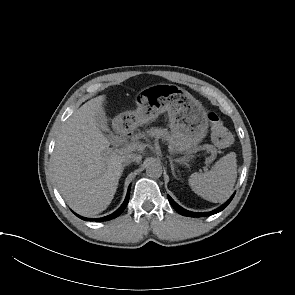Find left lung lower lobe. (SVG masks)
<instances>
[{
  "mask_svg": "<svg viewBox=\"0 0 295 295\" xmlns=\"http://www.w3.org/2000/svg\"><path fill=\"white\" fill-rule=\"evenodd\" d=\"M233 197H234V194L225 204L220 206L218 209L213 210L211 212H206V213H195V212L187 211V210L183 209L182 207H180L177 203H175L174 200L169 195H168V200H169L170 204L172 205V207L181 215L189 216V217H204V216H210V215H213V214H216V213L222 211L231 202Z\"/></svg>",
  "mask_w": 295,
  "mask_h": 295,
  "instance_id": "obj_1",
  "label": "left lung lower lobe"
}]
</instances>
